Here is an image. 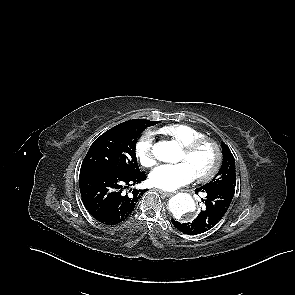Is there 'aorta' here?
Returning <instances> with one entry per match:
<instances>
[{
	"label": "aorta",
	"instance_id": "aorta-1",
	"mask_svg": "<svg viewBox=\"0 0 295 295\" xmlns=\"http://www.w3.org/2000/svg\"><path fill=\"white\" fill-rule=\"evenodd\" d=\"M180 152L181 147L174 140L161 141L153 150L155 158L163 162H176ZM168 205L172 216L178 220L191 217L196 209L192 196L187 193L174 195L170 198Z\"/></svg>",
	"mask_w": 295,
	"mask_h": 295
}]
</instances>
